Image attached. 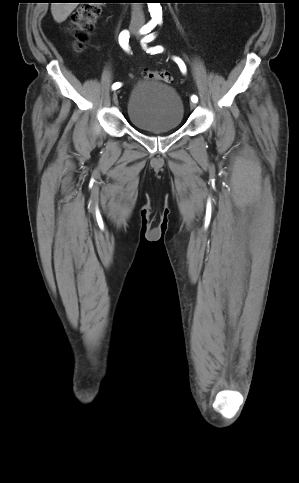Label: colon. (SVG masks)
Returning <instances> with one entry per match:
<instances>
[{
  "label": "colon",
  "mask_w": 299,
  "mask_h": 483,
  "mask_svg": "<svg viewBox=\"0 0 299 483\" xmlns=\"http://www.w3.org/2000/svg\"><path fill=\"white\" fill-rule=\"evenodd\" d=\"M102 11L99 2H91L80 7L72 15V31L75 39L74 49L83 52L86 48L90 34L93 31ZM144 78L146 80H156L169 83L171 77L168 72L162 70L145 69Z\"/></svg>",
  "instance_id": "colon-1"
}]
</instances>
